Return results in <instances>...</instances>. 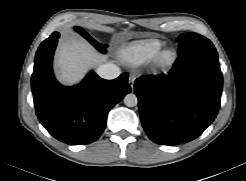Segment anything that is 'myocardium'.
<instances>
[{"label": "myocardium", "instance_id": "f54148a6", "mask_svg": "<svg viewBox=\"0 0 246 181\" xmlns=\"http://www.w3.org/2000/svg\"><path fill=\"white\" fill-rule=\"evenodd\" d=\"M178 53L175 48L169 47L160 50L154 58H152L153 66L160 71H168L176 63Z\"/></svg>", "mask_w": 246, "mask_h": 181}]
</instances>
